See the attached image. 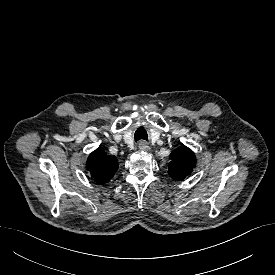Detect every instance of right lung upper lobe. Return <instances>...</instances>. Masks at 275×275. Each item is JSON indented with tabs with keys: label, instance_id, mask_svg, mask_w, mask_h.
<instances>
[{
	"label": "right lung upper lobe",
	"instance_id": "1",
	"mask_svg": "<svg viewBox=\"0 0 275 275\" xmlns=\"http://www.w3.org/2000/svg\"><path fill=\"white\" fill-rule=\"evenodd\" d=\"M118 160L115 156L107 155L102 148L93 151L86 163V168L98 183L110 180L118 169Z\"/></svg>",
	"mask_w": 275,
	"mask_h": 275
}]
</instances>
